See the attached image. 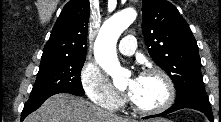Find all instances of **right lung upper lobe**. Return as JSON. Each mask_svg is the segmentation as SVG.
<instances>
[{
  "label": "right lung upper lobe",
  "instance_id": "right-lung-upper-lobe-1",
  "mask_svg": "<svg viewBox=\"0 0 221 122\" xmlns=\"http://www.w3.org/2000/svg\"><path fill=\"white\" fill-rule=\"evenodd\" d=\"M89 13V0H70L52 29L41 60L86 58Z\"/></svg>",
  "mask_w": 221,
  "mask_h": 122
}]
</instances>
